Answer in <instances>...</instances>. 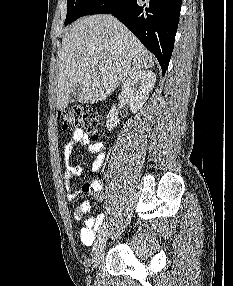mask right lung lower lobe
<instances>
[{"mask_svg":"<svg viewBox=\"0 0 233 286\" xmlns=\"http://www.w3.org/2000/svg\"><path fill=\"white\" fill-rule=\"evenodd\" d=\"M181 0H96L83 14H112L158 59L164 75L174 47Z\"/></svg>","mask_w":233,"mask_h":286,"instance_id":"right-lung-lower-lobe-1","label":"right lung lower lobe"}]
</instances>
